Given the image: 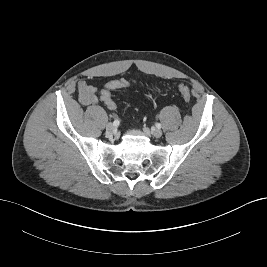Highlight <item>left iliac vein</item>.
<instances>
[{"instance_id":"1","label":"left iliac vein","mask_w":267,"mask_h":267,"mask_svg":"<svg viewBox=\"0 0 267 267\" xmlns=\"http://www.w3.org/2000/svg\"><path fill=\"white\" fill-rule=\"evenodd\" d=\"M152 134H153V136L154 137H156V138H160L161 136H162V131L160 130V129H154L153 131H152Z\"/></svg>"}]
</instances>
